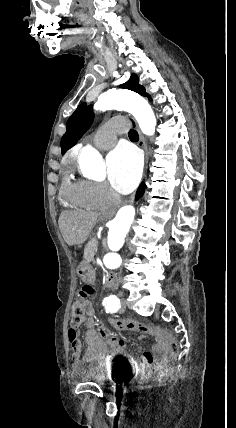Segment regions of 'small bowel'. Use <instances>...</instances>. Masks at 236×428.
<instances>
[{
    "instance_id": "obj_1",
    "label": "small bowel",
    "mask_w": 236,
    "mask_h": 428,
    "mask_svg": "<svg viewBox=\"0 0 236 428\" xmlns=\"http://www.w3.org/2000/svg\"><path fill=\"white\" fill-rule=\"evenodd\" d=\"M85 342L87 349L84 360L88 362L124 358L133 369L141 370L156 368L166 362V351L162 343L156 344L151 352H145L140 360L127 352L126 343L117 338L109 337L106 329L97 324L93 309L89 306L84 322ZM70 341L72 346V359L75 364L81 361V345L78 336L75 341Z\"/></svg>"
}]
</instances>
